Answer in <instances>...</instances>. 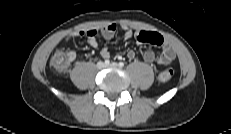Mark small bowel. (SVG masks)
<instances>
[{
  "label": "small bowel",
  "instance_id": "c3829d8e",
  "mask_svg": "<svg viewBox=\"0 0 231 134\" xmlns=\"http://www.w3.org/2000/svg\"><path fill=\"white\" fill-rule=\"evenodd\" d=\"M117 29L118 26L116 24H111L100 30L91 29L87 31H75L73 33L68 34L64 40L70 41L71 39L76 37L86 36L88 39V44L93 48H98V40H111L112 38H114ZM121 29L124 31L123 38L125 40L132 37L133 32L130 28H128L125 25H122ZM135 37L137 42L140 44L150 43L161 47V51L157 55L151 50H146L143 53V60L146 63H155L156 65H168L175 59V51L173 50L169 42L165 40V38L159 33L138 30L135 32ZM99 53L103 58L110 57V51L107 47L100 48ZM68 55L71 61H73L76 57V53L74 51H69ZM127 57L130 60H134L136 58V52L134 50L128 51Z\"/></svg>",
  "mask_w": 231,
  "mask_h": 134
}]
</instances>
